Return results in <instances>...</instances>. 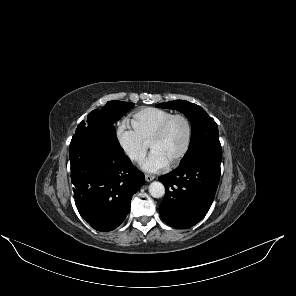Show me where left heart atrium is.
<instances>
[{"instance_id": "39dd6f15", "label": "left heart atrium", "mask_w": 296, "mask_h": 296, "mask_svg": "<svg viewBox=\"0 0 296 296\" xmlns=\"http://www.w3.org/2000/svg\"><path fill=\"white\" fill-rule=\"evenodd\" d=\"M169 161L159 152L153 151L147 160L143 163L142 168L147 172H159L169 166Z\"/></svg>"}]
</instances>
